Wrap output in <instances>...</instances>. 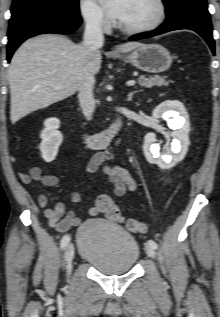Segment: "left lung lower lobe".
Masks as SVG:
<instances>
[{
  "mask_svg": "<svg viewBox=\"0 0 220 317\" xmlns=\"http://www.w3.org/2000/svg\"><path fill=\"white\" fill-rule=\"evenodd\" d=\"M167 19L156 30L132 36L130 40L160 35L169 31L189 29L197 32L210 46L215 54V44L212 37L210 14L206 0H181L180 4L171 12H166Z\"/></svg>",
  "mask_w": 220,
  "mask_h": 317,
  "instance_id": "left-lung-lower-lobe-1",
  "label": "left lung lower lobe"
}]
</instances>
